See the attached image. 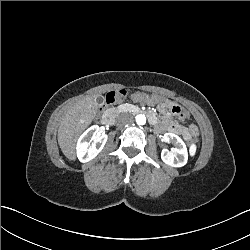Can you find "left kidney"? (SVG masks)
I'll return each instance as SVG.
<instances>
[{
    "mask_svg": "<svg viewBox=\"0 0 250 250\" xmlns=\"http://www.w3.org/2000/svg\"><path fill=\"white\" fill-rule=\"evenodd\" d=\"M166 143L175 145L171 151L166 148L161 150L162 160L172 167H182L187 163L188 152L184 141L173 133H166L163 136Z\"/></svg>",
    "mask_w": 250,
    "mask_h": 250,
    "instance_id": "left-kidney-1",
    "label": "left kidney"
}]
</instances>
